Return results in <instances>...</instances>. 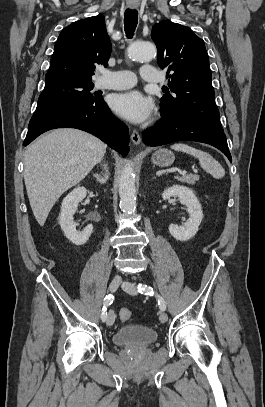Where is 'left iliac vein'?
<instances>
[{
	"instance_id": "1",
	"label": "left iliac vein",
	"mask_w": 265,
	"mask_h": 407,
	"mask_svg": "<svg viewBox=\"0 0 265 407\" xmlns=\"http://www.w3.org/2000/svg\"><path fill=\"white\" fill-rule=\"evenodd\" d=\"M122 288H123L127 293H129V294H131V295H135V294L137 293V292H136V287H135L132 283H130V282H128V281H124V282L122 283ZM159 320H160L161 323L167 322V320H168V315H167L165 312H161V313H160V316H159Z\"/></svg>"
}]
</instances>
